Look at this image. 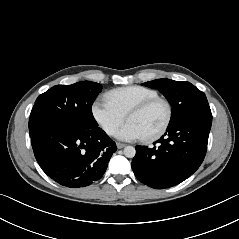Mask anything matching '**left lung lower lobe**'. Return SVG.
<instances>
[{
	"instance_id": "left-lung-lower-lobe-1",
	"label": "left lung lower lobe",
	"mask_w": 239,
	"mask_h": 239,
	"mask_svg": "<svg viewBox=\"0 0 239 239\" xmlns=\"http://www.w3.org/2000/svg\"><path fill=\"white\" fill-rule=\"evenodd\" d=\"M212 115H193L170 123L166 133L148 148L136 146L132 169L139 181L155 188L175 186L201 165L207 150Z\"/></svg>"
}]
</instances>
